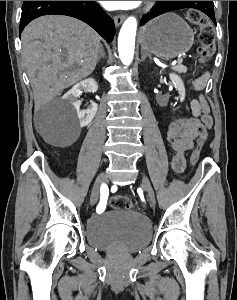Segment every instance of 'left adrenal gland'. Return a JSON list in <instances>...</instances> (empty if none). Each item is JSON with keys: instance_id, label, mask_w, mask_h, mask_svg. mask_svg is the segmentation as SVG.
Instances as JSON below:
<instances>
[{"instance_id": "a2214340", "label": "left adrenal gland", "mask_w": 237, "mask_h": 300, "mask_svg": "<svg viewBox=\"0 0 237 300\" xmlns=\"http://www.w3.org/2000/svg\"><path fill=\"white\" fill-rule=\"evenodd\" d=\"M141 59L140 61H145V59H147V57H149V59H151L150 55H148L147 51H141Z\"/></svg>"}]
</instances>
